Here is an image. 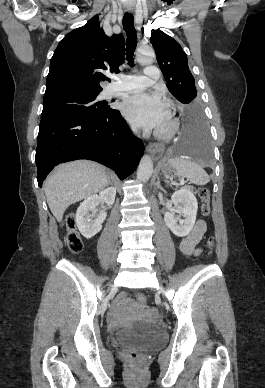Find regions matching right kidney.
<instances>
[{
  "label": "right kidney",
  "instance_id": "1",
  "mask_svg": "<svg viewBox=\"0 0 265 388\" xmlns=\"http://www.w3.org/2000/svg\"><path fill=\"white\" fill-rule=\"evenodd\" d=\"M116 188H106L102 190L99 196H90L86 198L82 204H80L76 212V222L79 232H81L84 238H93L100 230H102V224L106 220L107 212L101 210L100 214H96V206H99L100 202H105L107 206H112L115 202Z\"/></svg>",
  "mask_w": 265,
  "mask_h": 388
}]
</instances>
